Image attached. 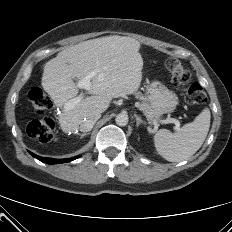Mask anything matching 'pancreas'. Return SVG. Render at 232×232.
<instances>
[{"mask_svg": "<svg viewBox=\"0 0 232 232\" xmlns=\"http://www.w3.org/2000/svg\"><path fill=\"white\" fill-rule=\"evenodd\" d=\"M136 97L141 101L138 103V108L144 113L149 120H154L160 116V114L150 105L148 99L141 93H137Z\"/></svg>", "mask_w": 232, "mask_h": 232, "instance_id": "obj_1", "label": "pancreas"}]
</instances>
